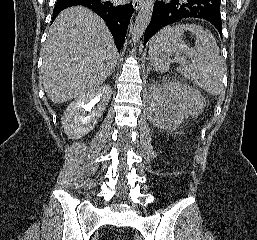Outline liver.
I'll return each instance as SVG.
<instances>
[{
  "label": "liver",
  "instance_id": "obj_1",
  "mask_svg": "<svg viewBox=\"0 0 257 240\" xmlns=\"http://www.w3.org/2000/svg\"><path fill=\"white\" fill-rule=\"evenodd\" d=\"M117 49L105 22L88 8L65 9L50 27L41 78L53 103L98 88L115 69Z\"/></svg>",
  "mask_w": 257,
  "mask_h": 240
}]
</instances>
